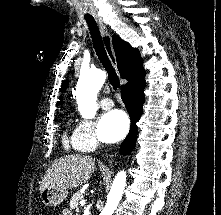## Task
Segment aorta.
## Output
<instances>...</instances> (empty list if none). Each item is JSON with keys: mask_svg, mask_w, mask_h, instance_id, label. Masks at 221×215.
I'll list each match as a JSON object with an SVG mask.
<instances>
[{"mask_svg": "<svg viewBox=\"0 0 221 215\" xmlns=\"http://www.w3.org/2000/svg\"><path fill=\"white\" fill-rule=\"evenodd\" d=\"M106 80V74L102 70H93L82 74L76 86V100L78 109L83 118H94L97 112V94ZM126 172L120 171L115 176L111 190L107 196V202L100 215H112L117 208L126 185Z\"/></svg>", "mask_w": 221, "mask_h": 215, "instance_id": "762f6f07", "label": "aorta"}]
</instances>
